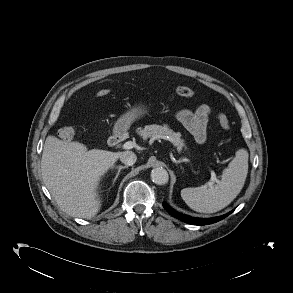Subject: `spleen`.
<instances>
[{
  "label": "spleen",
  "instance_id": "1",
  "mask_svg": "<svg viewBox=\"0 0 293 293\" xmlns=\"http://www.w3.org/2000/svg\"><path fill=\"white\" fill-rule=\"evenodd\" d=\"M248 157L246 149L237 150L216 185L184 188L181 190L182 199L191 209L201 213H214L225 208L237 197L245 184Z\"/></svg>",
  "mask_w": 293,
  "mask_h": 293
}]
</instances>
